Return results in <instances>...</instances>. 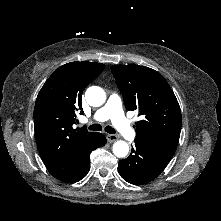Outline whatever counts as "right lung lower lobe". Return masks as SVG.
<instances>
[{"mask_svg":"<svg viewBox=\"0 0 221 221\" xmlns=\"http://www.w3.org/2000/svg\"><path fill=\"white\" fill-rule=\"evenodd\" d=\"M107 140L101 133H95L86 143L76 147L57 163L47 167L56 179L75 183L83 179L90 170V153L104 146Z\"/></svg>","mask_w":221,"mask_h":221,"instance_id":"right-lung-lower-lobe-1","label":"right lung lower lobe"}]
</instances>
